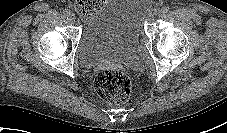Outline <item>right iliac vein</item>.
Returning a JSON list of instances; mask_svg holds the SVG:
<instances>
[{
    "mask_svg": "<svg viewBox=\"0 0 227 133\" xmlns=\"http://www.w3.org/2000/svg\"><path fill=\"white\" fill-rule=\"evenodd\" d=\"M69 17H70V19L73 20V21H74L75 18H76L75 15H74V13H70Z\"/></svg>",
    "mask_w": 227,
    "mask_h": 133,
    "instance_id": "right-iliac-vein-1",
    "label": "right iliac vein"
}]
</instances>
